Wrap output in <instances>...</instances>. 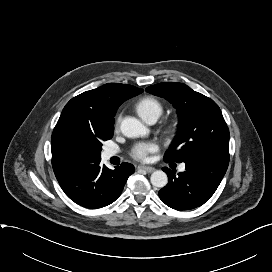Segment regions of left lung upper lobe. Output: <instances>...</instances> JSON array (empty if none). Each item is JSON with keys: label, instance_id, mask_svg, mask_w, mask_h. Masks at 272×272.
I'll return each instance as SVG.
<instances>
[{"label": "left lung upper lobe", "instance_id": "obj_1", "mask_svg": "<svg viewBox=\"0 0 272 272\" xmlns=\"http://www.w3.org/2000/svg\"><path fill=\"white\" fill-rule=\"evenodd\" d=\"M177 109L178 131L164 161L188 162L205 155L229 156V130L220 108L185 84L163 82L146 88Z\"/></svg>", "mask_w": 272, "mask_h": 272}]
</instances>
